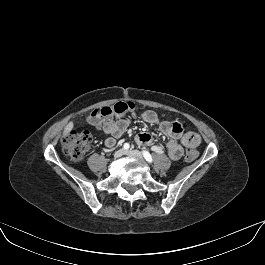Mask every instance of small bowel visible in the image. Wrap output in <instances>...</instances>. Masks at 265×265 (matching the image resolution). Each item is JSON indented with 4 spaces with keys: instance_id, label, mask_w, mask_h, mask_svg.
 <instances>
[{
    "instance_id": "small-bowel-1",
    "label": "small bowel",
    "mask_w": 265,
    "mask_h": 265,
    "mask_svg": "<svg viewBox=\"0 0 265 265\" xmlns=\"http://www.w3.org/2000/svg\"><path fill=\"white\" fill-rule=\"evenodd\" d=\"M137 117L133 114L131 117H120L118 119H108L103 123L96 125L106 135V147H113L117 140L124 134L130 125L131 118ZM139 118L150 125L158 126L160 132L168 137L166 145L167 153L172 160H179L183 154V147L194 148L200 144V136L191 131H184L179 121H164L159 118L153 110H146ZM153 142V135L150 132H142L136 135L135 143L137 145H147Z\"/></svg>"
}]
</instances>
